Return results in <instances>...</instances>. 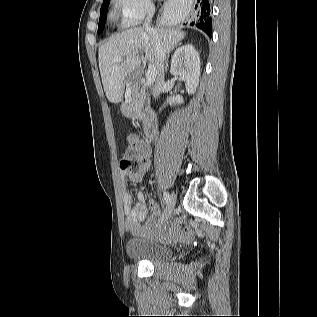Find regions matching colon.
Returning <instances> with one entry per match:
<instances>
[{"label":"colon","instance_id":"1","mask_svg":"<svg viewBox=\"0 0 317 317\" xmlns=\"http://www.w3.org/2000/svg\"><path fill=\"white\" fill-rule=\"evenodd\" d=\"M120 167L132 180L139 179L145 171V165L138 141L133 137L130 138L128 151L120 161Z\"/></svg>","mask_w":317,"mask_h":317}]
</instances>
